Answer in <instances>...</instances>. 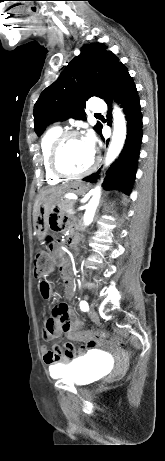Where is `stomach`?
Masks as SVG:
<instances>
[{
  "mask_svg": "<svg viewBox=\"0 0 165 461\" xmlns=\"http://www.w3.org/2000/svg\"><path fill=\"white\" fill-rule=\"evenodd\" d=\"M87 186L82 182H74L70 186V192L82 195L86 192ZM62 199V194H49L45 196L39 207L38 216L35 223V230L39 239H44L48 235L50 227L48 214H52V207Z\"/></svg>",
  "mask_w": 165,
  "mask_h": 461,
  "instance_id": "0dacf381",
  "label": "stomach"
}]
</instances>
